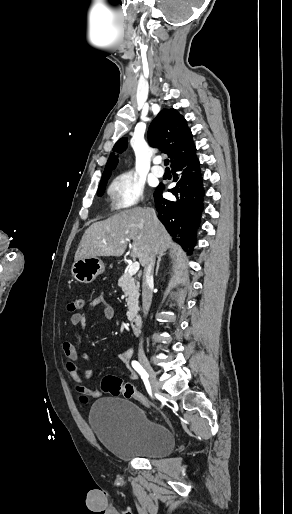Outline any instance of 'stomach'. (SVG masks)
<instances>
[{
    "mask_svg": "<svg viewBox=\"0 0 292 514\" xmlns=\"http://www.w3.org/2000/svg\"><path fill=\"white\" fill-rule=\"evenodd\" d=\"M104 270L105 266L99 258H81L72 264L71 274L77 282L91 284Z\"/></svg>",
    "mask_w": 292,
    "mask_h": 514,
    "instance_id": "stomach-1",
    "label": "stomach"
}]
</instances>
